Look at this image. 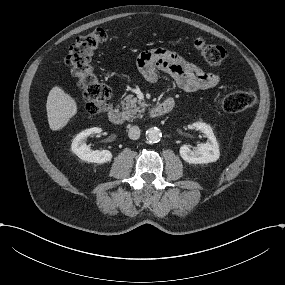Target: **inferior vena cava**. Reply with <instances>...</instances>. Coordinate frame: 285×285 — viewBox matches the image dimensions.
Masks as SVG:
<instances>
[{"mask_svg":"<svg viewBox=\"0 0 285 285\" xmlns=\"http://www.w3.org/2000/svg\"><path fill=\"white\" fill-rule=\"evenodd\" d=\"M128 136L132 140H137L140 137V129L138 126H132L129 128Z\"/></svg>","mask_w":285,"mask_h":285,"instance_id":"obj_1","label":"inferior vena cava"}]
</instances>
